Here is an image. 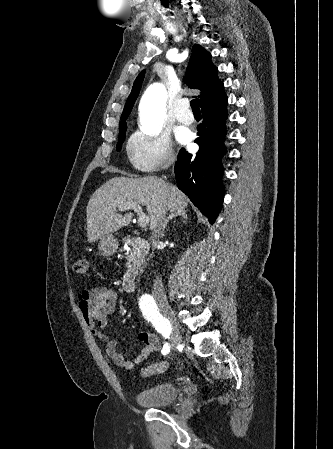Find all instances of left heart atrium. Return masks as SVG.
Segmentation results:
<instances>
[{"mask_svg":"<svg viewBox=\"0 0 333 449\" xmlns=\"http://www.w3.org/2000/svg\"><path fill=\"white\" fill-rule=\"evenodd\" d=\"M189 139V135L185 134L181 137V141H187Z\"/></svg>","mask_w":333,"mask_h":449,"instance_id":"left-heart-atrium-1","label":"left heart atrium"}]
</instances>
